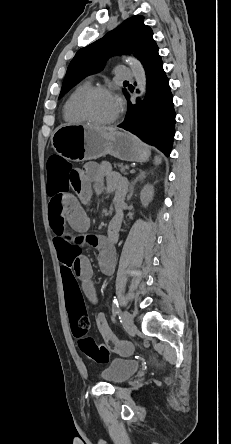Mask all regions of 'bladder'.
I'll return each instance as SVG.
<instances>
[{
  "label": "bladder",
  "instance_id": "bladder-1",
  "mask_svg": "<svg viewBox=\"0 0 231 444\" xmlns=\"http://www.w3.org/2000/svg\"><path fill=\"white\" fill-rule=\"evenodd\" d=\"M138 362L128 359H113L101 372V377L110 384H120L139 369Z\"/></svg>",
  "mask_w": 231,
  "mask_h": 444
}]
</instances>
